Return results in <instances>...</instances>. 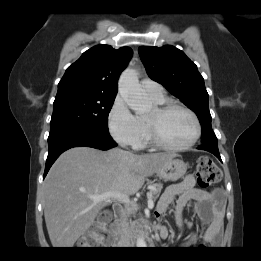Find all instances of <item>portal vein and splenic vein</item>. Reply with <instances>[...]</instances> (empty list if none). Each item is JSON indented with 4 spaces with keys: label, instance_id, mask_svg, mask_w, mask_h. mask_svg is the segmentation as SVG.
Segmentation results:
<instances>
[{
    "label": "portal vein and splenic vein",
    "instance_id": "obj_1",
    "mask_svg": "<svg viewBox=\"0 0 261 261\" xmlns=\"http://www.w3.org/2000/svg\"><path fill=\"white\" fill-rule=\"evenodd\" d=\"M148 208L152 209L154 207V202L151 199V193H148ZM89 198H91L94 201H103V200H110V199H117L124 202H129V198L127 196H123L122 194L118 192H105L102 194L97 195H89Z\"/></svg>",
    "mask_w": 261,
    "mask_h": 261
}]
</instances>
